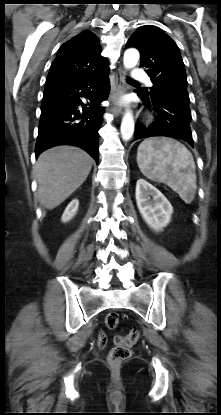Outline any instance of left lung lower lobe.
I'll list each match as a JSON object with an SVG mask.
<instances>
[{
    "mask_svg": "<svg viewBox=\"0 0 221 415\" xmlns=\"http://www.w3.org/2000/svg\"><path fill=\"white\" fill-rule=\"evenodd\" d=\"M136 92L145 102V106H153L157 116L155 123L149 127L136 125L134 141L141 138L167 136L182 139L193 146L189 99L173 95L154 97L145 94L141 89Z\"/></svg>",
    "mask_w": 221,
    "mask_h": 415,
    "instance_id": "obj_1",
    "label": "left lung lower lobe"
}]
</instances>
